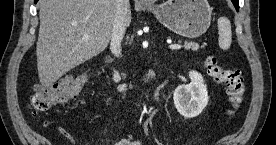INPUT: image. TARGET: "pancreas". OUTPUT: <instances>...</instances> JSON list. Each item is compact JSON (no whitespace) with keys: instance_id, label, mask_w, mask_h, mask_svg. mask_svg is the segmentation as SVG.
<instances>
[{"instance_id":"pancreas-1","label":"pancreas","mask_w":276,"mask_h":145,"mask_svg":"<svg viewBox=\"0 0 276 145\" xmlns=\"http://www.w3.org/2000/svg\"><path fill=\"white\" fill-rule=\"evenodd\" d=\"M184 47H185V49H187V50L191 49L192 51H196L199 49V45L196 43H192V42H185Z\"/></svg>"}]
</instances>
